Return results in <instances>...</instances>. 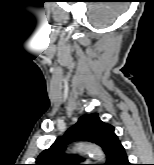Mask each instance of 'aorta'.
<instances>
[{
	"mask_svg": "<svg viewBox=\"0 0 154 165\" xmlns=\"http://www.w3.org/2000/svg\"><path fill=\"white\" fill-rule=\"evenodd\" d=\"M75 150L79 153L89 154L99 162H105V154L102 149L91 143H79L76 145Z\"/></svg>",
	"mask_w": 154,
	"mask_h": 165,
	"instance_id": "762f6f07",
	"label": "aorta"
}]
</instances>
